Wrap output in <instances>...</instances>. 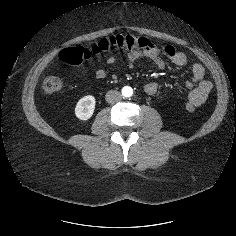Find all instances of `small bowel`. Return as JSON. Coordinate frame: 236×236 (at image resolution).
<instances>
[{"instance_id":"obj_1","label":"small bowel","mask_w":236,"mask_h":236,"mask_svg":"<svg viewBox=\"0 0 236 236\" xmlns=\"http://www.w3.org/2000/svg\"><path fill=\"white\" fill-rule=\"evenodd\" d=\"M163 54L175 66H184L187 63V57L184 53L177 51L173 46L167 45L161 50L153 44L142 51H131L126 58L121 61L116 56H110L106 60L108 66H114L122 62L126 68L132 69L140 59L148 58L154 62L159 69L165 68V61L161 57ZM192 77L186 81L185 88L189 91V104L198 107L205 103L209 94L212 91V82L205 78V69L199 64L195 63L191 67ZM109 75L106 69H98L94 73L96 80H102ZM157 84L155 82H148L144 86V91L148 95H154L157 92Z\"/></svg>"}]
</instances>
